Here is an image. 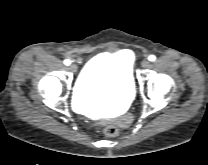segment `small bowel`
Wrapping results in <instances>:
<instances>
[{
    "label": "small bowel",
    "mask_w": 208,
    "mask_h": 165,
    "mask_svg": "<svg viewBox=\"0 0 208 165\" xmlns=\"http://www.w3.org/2000/svg\"><path fill=\"white\" fill-rule=\"evenodd\" d=\"M115 52L114 49L109 50V54H114ZM117 53L121 54L124 63H128L132 60V54L126 49H121Z\"/></svg>",
    "instance_id": "obj_1"
}]
</instances>
